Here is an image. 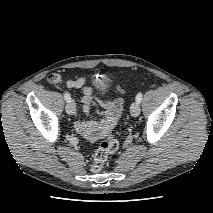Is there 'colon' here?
<instances>
[{"mask_svg":"<svg viewBox=\"0 0 213 213\" xmlns=\"http://www.w3.org/2000/svg\"><path fill=\"white\" fill-rule=\"evenodd\" d=\"M106 140L103 141L94 153L91 169L95 172L102 170L109 156L117 151L118 141L112 135L110 129L105 131Z\"/></svg>","mask_w":213,"mask_h":213,"instance_id":"5ec220e1","label":"colon"}]
</instances>
